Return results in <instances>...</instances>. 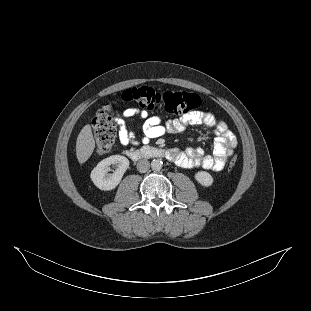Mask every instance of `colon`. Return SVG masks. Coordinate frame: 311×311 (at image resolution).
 Returning <instances> with one entry per match:
<instances>
[{"label":"colon","instance_id":"5ec220e1","mask_svg":"<svg viewBox=\"0 0 311 311\" xmlns=\"http://www.w3.org/2000/svg\"><path fill=\"white\" fill-rule=\"evenodd\" d=\"M121 99L150 111H162L173 115L188 113L198 108L201 103L200 97L192 92L173 90L159 92L147 86L127 89L122 93ZM92 128L96 140V152L101 155L108 153L115 143L117 133L110 104L97 112L92 120ZM236 164L237 157L234 156L229 162L228 169L232 170Z\"/></svg>","mask_w":311,"mask_h":311}]
</instances>
